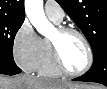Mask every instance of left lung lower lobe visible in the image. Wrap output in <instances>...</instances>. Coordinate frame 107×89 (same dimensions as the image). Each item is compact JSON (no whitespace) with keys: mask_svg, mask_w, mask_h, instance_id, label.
Masks as SVG:
<instances>
[{"mask_svg":"<svg viewBox=\"0 0 107 89\" xmlns=\"http://www.w3.org/2000/svg\"><path fill=\"white\" fill-rule=\"evenodd\" d=\"M73 80L97 82L107 86V48L94 55V63L86 74Z\"/></svg>","mask_w":107,"mask_h":89,"instance_id":"obj_1","label":"left lung lower lobe"}]
</instances>
